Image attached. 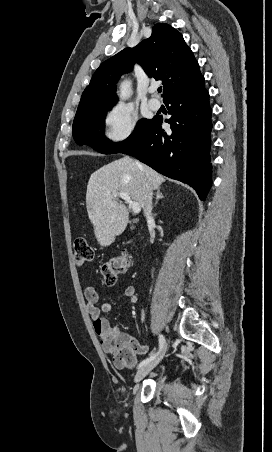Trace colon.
Wrapping results in <instances>:
<instances>
[{"label": "colon", "instance_id": "1", "mask_svg": "<svg viewBox=\"0 0 272 452\" xmlns=\"http://www.w3.org/2000/svg\"><path fill=\"white\" fill-rule=\"evenodd\" d=\"M74 263L82 267L94 260V250L85 239L74 241ZM129 267V259L126 253L116 254L101 266V280L104 285L113 286L120 275L126 273ZM109 353L112 354L113 363L118 368H133L136 363L138 347L136 341L125 337L123 334L111 336L106 344Z\"/></svg>", "mask_w": 272, "mask_h": 452}]
</instances>
